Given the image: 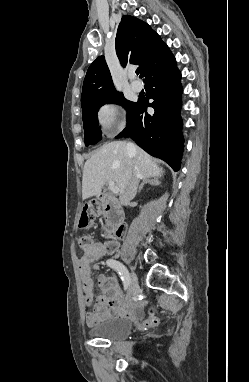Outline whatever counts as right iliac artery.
<instances>
[{"label":"right iliac artery","mask_w":249,"mask_h":382,"mask_svg":"<svg viewBox=\"0 0 249 382\" xmlns=\"http://www.w3.org/2000/svg\"><path fill=\"white\" fill-rule=\"evenodd\" d=\"M106 263L109 267L113 268L118 272L123 281L124 289H127L130 283V275L126 267L122 263L114 259H108Z\"/></svg>","instance_id":"1"}]
</instances>
